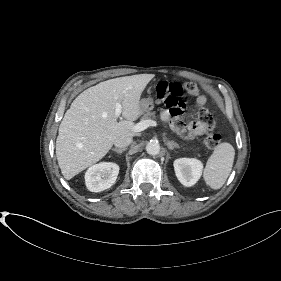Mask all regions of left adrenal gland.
I'll return each instance as SVG.
<instances>
[{
    "mask_svg": "<svg viewBox=\"0 0 281 281\" xmlns=\"http://www.w3.org/2000/svg\"><path fill=\"white\" fill-rule=\"evenodd\" d=\"M166 145L169 150H173L174 148H179V145L174 141H166Z\"/></svg>",
    "mask_w": 281,
    "mask_h": 281,
    "instance_id": "1",
    "label": "left adrenal gland"
}]
</instances>
